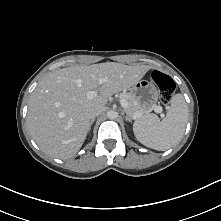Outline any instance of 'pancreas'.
I'll use <instances>...</instances> for the list:
<instances>
[{"label":"pancreas","instance_id":"cf45deb5","mask_svg":"<svg viewBox=\"0 0 221 221\" xmlns=\"http://www.w3.org/2000/svg\"><path fill=\"white\" fill-rule=\"evenodd\" d=\"M126 101L128 102L127 108H125V112L128 116L134 118V116L138 113L144 114L148 111V109H144L139 101L131 94H120Z\"/></svg>","mask_w":221,"mask_h":221}]
</instances>
